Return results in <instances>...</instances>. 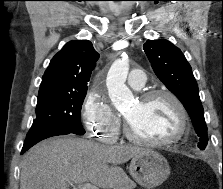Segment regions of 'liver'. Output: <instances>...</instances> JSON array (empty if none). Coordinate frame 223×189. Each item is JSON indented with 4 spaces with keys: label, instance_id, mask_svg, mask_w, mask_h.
Here are the masks:
<instances>
[{
    "label": "liver",
    "instance_id": "6515ba94",
    "mask_svg": "<svg viewBox=\"0 0 223 189\" xmlns=\"http://www.w3.org/2000/svg\"><path fill=\"white\" fill-rule=\"evenodd\" d=\"M144 151L136 146H107L81 138H50L24 155L20 189H69L72 184L86 182L103 189H125L129 178L119 165Z\"/></svg>",
    "mask_w": 223,
    "mask_h": 189
}]
</instances>
